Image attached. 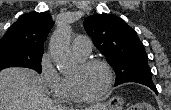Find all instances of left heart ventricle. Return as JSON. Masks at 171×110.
Listing matches in <instances>:
<instances>
[{
	"label": "left heart ventricle",
	"instance_id": "1",
	"mask_svg": "<svg viewBox=\"0 0 171 110\" xmlns=\"http://www.w3.org/2000/svg\"><path fill=\"white\" fill-rule=\"evenodd\" d=\"M69 78L74 82L78 91L84 96H94L103 91L107 83V72L94 65L81 69L79 65L72 71Z\"/></svg>",
	"mask_w": 171,
	"mask_h": 110
}]
</instances>
